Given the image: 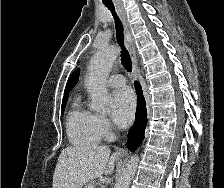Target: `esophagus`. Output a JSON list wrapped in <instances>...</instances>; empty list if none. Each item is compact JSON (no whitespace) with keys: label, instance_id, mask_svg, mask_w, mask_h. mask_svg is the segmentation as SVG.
Returning <instances> with one entry per match:
<instances>
[{"label":"esophagus","instance_id":"obj_1","mask_svg":"<svg viewBox=\"0 0 224 188\" xmlns=\"http://www.w3.org/2000/svg\"><path fill=\"white\" fill-rule=\"evenodd\" d=\"M117 8H118V12L120 14L121 20L123 22L124 32H125V41H126V45H127L128 51L130 53L132 64H133V76L137 80V78H138L137 58H136L135 43H134V38L132 35L131 27H130L128 20L126 18V15H125L123 9L120 7V5H118Z\"/></svg>","mask_w":224,"mask_h":188}]
</instances>
